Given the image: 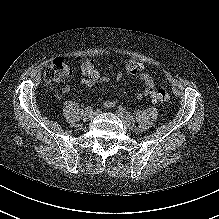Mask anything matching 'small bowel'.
Returning a JSON list of instances; mask_svg holds the SVG:
<instances>
[{
    "instance_id": "c3829d8e",
    "label": "small bowel",
    "mask_w": 219,
    "mask_h": 219,
    "mask_svg": "<svg viewBox=\"0 0 219 219\" xmlns=\"http://www.w3.org/2000/svg\"><path fill=\"white\" fill-rule=\"evenodd\" d=\"M127 72L137 78L138 80L142 81L145 85V89L142 93H138L136 95V98L138 100L142 99L144 96H148L151 94L155 87V81L152 76H150L147 73L141 72L142 70V64L136 61H129L127 63ZM132 68H137V71H131ZM81 83L85 86L92 87L96 85L99 82H106L110 80V77L108 75H102L100 74L94 67V64L92 61H85L81 65ZM123 77L122 74H119L117 76L118 79H121ZM62 93L64 95H67L70 93V86L66 85L62 88ZM104 105L106 107H113L115 103L113 101H105Z\"/></svg>"
}]
</instances>
